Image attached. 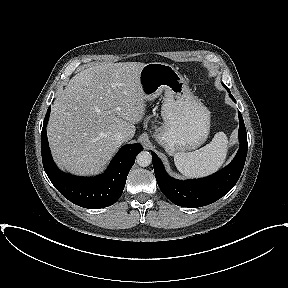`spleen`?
<instances>
[{"instance_id":"obj_1","label":"spleen","mask_w":288,"mask_h":288,"mask_svg":"<svg viewBox=\"0 0 288 288\" xmlns=\"http://www.w3.org/2000/svg\"><path fill=\"white\" fill-rule=\"evenodd\" d=\"M228 138L218 132L212 141L199 150L189 153H176L174 162L181 174L196 178L210 175L224 163L227 155Z\"/></svg>"}]
</instances>
